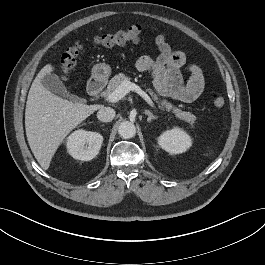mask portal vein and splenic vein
Returning <instances> with one entry per match:
<instances>
[{
    "label": "portal vein and splenic vein",
    "mask_w": 265,
    "mask_h": 265,
    "mask_svg": "<svg viewBox=\"0 0 265 265\" xmlns=\"http://www.w3.org/2000/svg\"><path fill=\"white\" fill-rule=\"evenodd\" d=\"M130 91L138 93L150 106L154 107V103L146 92H144L138 85L130 81H123L112 93L106 96L108 102H118Z\"/></svg>",
    "instance_id": "portal-vein-and-splenic-vein-1"
}]
</instances>
